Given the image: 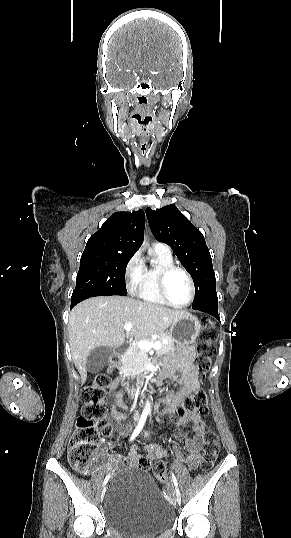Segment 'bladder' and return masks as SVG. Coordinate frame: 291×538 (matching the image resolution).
Instances as JSON below:
<instances>
[{"label": "bladder", "mask_w": 291, "mask_h": 538, "mask_svg": "<svg viewBox=\"0 0 291 538\" xmlns=\"http://www.w3.org/2000/svg\"><path fill=\"white\" fill-rule=\"evenodd\" d=\"M102 503L107 525L127 535H155L170 527L175 519L173 507L148 475L132 468L111 476Z\"/></svg>", "instance_id": "bladder-1"}]
</instances>
